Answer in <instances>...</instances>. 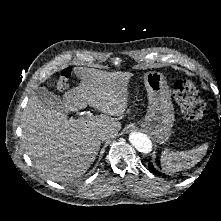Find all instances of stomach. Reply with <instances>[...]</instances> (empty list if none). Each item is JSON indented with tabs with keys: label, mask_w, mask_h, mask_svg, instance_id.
<instances>
[{
	"label": "stomach",
	"mask_w": 221,
	"mask_h": 221,
	"mask_svg": "<svg viewBox=\"0 0 221 221\" xmlns=\"http://www.w3.org/2000/svg\"><path fill=\"white\" fill-rule=\"evenodd\" d=\"M144 84L148 94V110L140 126L162 144L171 136L174 122L170 90L164 75L156 71L144 75Z\"/></svg>",
	"instance_id": "obj_1"
}]
</instances>
